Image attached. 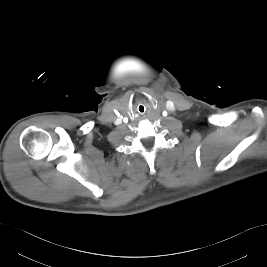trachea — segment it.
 I'll list each match as a JSON object with an SVG mask.
<instances>
[{
  "mask_svg": "<svg viewBox=\"0 0 267 267\" xmlns=\"http://www.w3.org/2000/svg\"><path fill=\"white\" fill-rule=\"evenodd\" d=\"M138 112L140 113V114H144L146 111H145V108H144V106L143 105H140L139 107H138Z\"/></svg>",
  "mask_w": 267,
  "mask_h": 267,
  "instance_id": "1",
  "label": "trachea"
}]
</instances>
